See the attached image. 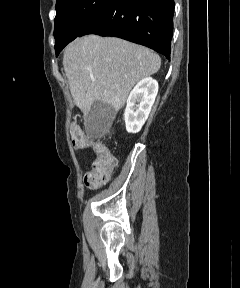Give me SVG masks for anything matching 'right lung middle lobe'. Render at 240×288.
<instances>
[{
	"label": "right lung middle lobe",
	"mask_w": 240,
	"mask_h": 288,
	"mask_svg": "<svg viewBox=\"0 0 240 288\" xmlns=\"http://www.w3.org/2000/svg\"><path fill=\"white\" fill-rule=\"evenodd\" d=\"M113 0H57L55 17L56 56L80 35Z\"/></svg>",
	"instance_id": "1"
}]
</instances>
